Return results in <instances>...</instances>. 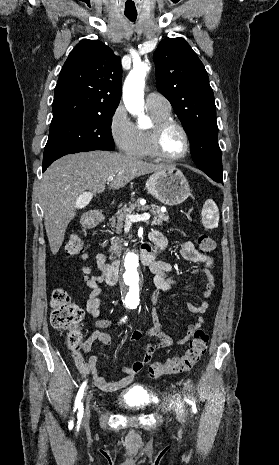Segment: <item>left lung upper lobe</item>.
Instances as JSON below:
<instances>
[{"mask_svg": "<svg viewBox=\"0 0 279 465\" xmlns=\"http://www.w3.org/2000/svg\"><path fill=\"white\" fill-rule=\"evenodd\" d=\"M157 89L170 101L190 141L193 161L223 181L213 90L204 65L183 38L163 39L155 53Z\"/></svg>", "mask_w": 279, "mask_h": 465, "instance_id": "obj_1", "label": "left lung upper lobe"}]
</instances>
